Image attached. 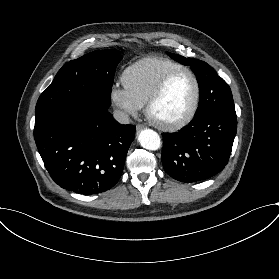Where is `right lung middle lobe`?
Masks as SVG:
<instances>
[{"label":"right lung middle lobe","instance_id":"right-lung-middle-lobe-1","mask_svg":"<svg viewBox=\"0 0 279 279\" xmlns=\"http://www.w3.org/2000/svg\"><path fill=\"white\" fill-rule=\"evenodd\" d=\"M121 59L117 50H101L66 63L40 95L35 112L46 105L77 96L92 97L109 107L115 68Z\"/></svg>","mask_w":279,"mask_h":279}]
</instances>
